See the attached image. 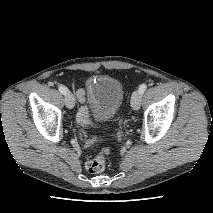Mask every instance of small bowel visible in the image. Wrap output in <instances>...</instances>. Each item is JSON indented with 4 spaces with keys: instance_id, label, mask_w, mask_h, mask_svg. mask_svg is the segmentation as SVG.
<instances>
[{
    "instance_id": "small-bowel-1",
    "label": "small bowel",
    "mask_w": 213,
    "mask_h": 213,
    "mask_svg": "<svg viewBox=\"0 0 213 213\" xmlns=\"http://www.w3.org/2000/svg\"><path fill=\"white\" fill-rule=\"evenodd\" d=\"M76 96L78 100L81 103L86 102V92L84 89H79L76 93ZM77 122L83 126L89 125L90 124V119H89V109L86 105H84L78 112L77 114Z\"/></svg>"
}]
</instances>
